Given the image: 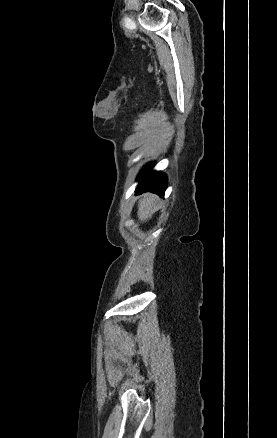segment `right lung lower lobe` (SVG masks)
I'll use <instances>...</instances> for the list:
<instances>
[{"instance_id":"right-lung-lower-lobe-1","label":"right lung lower lobe","mask_w":277,"mask_h":438,"mask_svg":"<svg viewBox=\"0 0 277 438\" xmlns=\"http://www.w3.org/2000/svg\"><path fill=\"white\" fill-rule=\"evenodd\" d=\"M153 164H148L140 172L138 179L140 180L136 194L151 191L160 196L164 195L167 187V177L161 172L152 171Z\"/></svg>"}]
</instances>
